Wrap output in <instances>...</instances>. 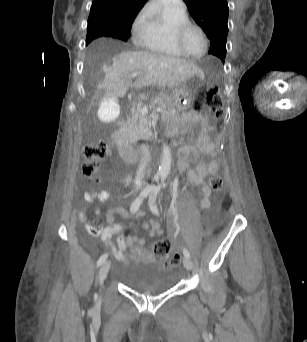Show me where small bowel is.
Returning a JSON list of instances; mask_svg holds the SVG:
<instances>
[{"instance_id": "c3829d8e", "label": "small bowel", "mask_w": 307, "mask_h": 342, "mask_svg": "<svg viewBox=\"0 0 307 342\" xmlns=\"http://www.w3.org/2000/svg\"><path fill=\"white\" fill-rule=\"evenodd\" d=\"M195 128L198 129V134L194 142L179 150L177 169L184 171L192 164H195V168L189 169L188 178L191 182L200 186L201 198L199 207L205 210L210 207L211 196V189L206 184L205 178L209 175H214L219 171L217 142L210 137L215 131V126L206 116L200 113L190 114L185 129L186 131H193ZM201 155L208 157L209 162H202L200 160ZM84 199L88 204L93 203L95 200L106 202L109 200V194L105 191L88 190L84 194ZM87 211L88 208H84L79 214V219L84 224L86 231L92 236L99 237L102 242L111 249L112 253L119 261H128V248L134 247L137 250H142L144 248L146 240L135 234V228H133V235L125 236L122 232V226L115 221L116 214H120L126 219L130 217L125 209L111 208L105 215V219L108 223L106 226H94L88 222L86 219ZM96 212L99 213V209H96ZM139 216H142V214ZM142 228L148 231L150 238L163 234V229L156 220L144 223ZM113 236H117L116 244L112 241Z\"/></svg>"}]
</instances>
